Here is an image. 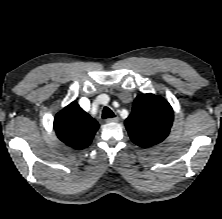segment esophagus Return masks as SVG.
<instances>
[{
    "label": "esophagus",
    "instance_id": "obj_1",
    "mask_svg": "<svg viewBox=\"0 0 222 219\" xmlns=\"http://www.w3.org/2000/svg\"><path fill=\"white\" fill-rule=\"evenodd\" d=\"M118 121H119V118H118V117L106 119V122H107V123H116V122H118Z\"/></svg>",
    "mask_w": 222,
    "mask_h": 219
}]
</instances>
